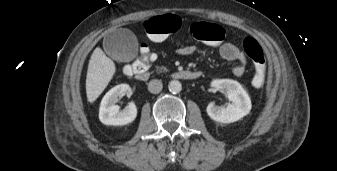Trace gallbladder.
I'll return each mask as SVG.
<instances>
[{
  "mask_svg": "<svg viewBox=\"0 0 337 171\" xmlns=\"http://www.w3.org/2000/svg\"><path fill=\"white\" fill-rule=\"evenodd\" d=\"M103 47L114 60L128 62L136 56L138 43L130 30L117 29L104 38Z\"/></svg>",
  "mask_w": 337,
  "mask_h": 171,
  "instance_id": "1",
  "label": "gallbladder"
}]
</instances>
